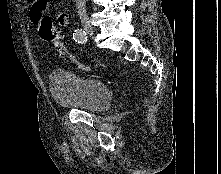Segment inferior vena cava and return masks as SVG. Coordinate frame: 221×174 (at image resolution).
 Returning a JSON list of instances; mask_svg holds the SVG:
<instances>
[{
  "instance_id": "obj_1",
  "label": "inferior vena cava",
  "mask_w": 221,
  "mask_h": 174,
  "mask_svg": "<svg viewBox=\"0 0 221 174\" xmlns=\"http://www.w3.org/2000/svg\"><path fill=\"white\" fill-rule=\"evenodd\" d=\"M76 2V6L78 9V15H80V17L85 16L86 15V4H85V0H74Z\"/></svg>"
}]
</instances>
